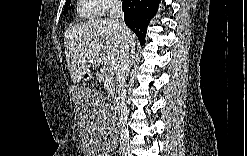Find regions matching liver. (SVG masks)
Segmentation results:
<instances>
[{"mask_svg": "<svg viewBox=\"0 0 247 156\" xmlns=\"http://www.w3.org/2000/svg\"><path fill=\"white\" fill-rule=\"evenodd\" d=\"M134 43L136 37L131 33ZM67 67L74 83H79L91 67L104 62L118 67L123 52V39L108 18L77 23L64 35Z\"/></svg>", "mask_w": 247, "mask_h": 156, "instance_id": "obj_1", "label": "liver"}]
</instances>
